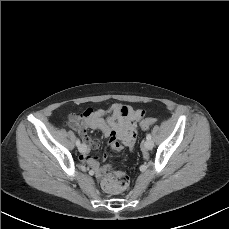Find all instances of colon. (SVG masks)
<instances>
[{
	"instance_id": "1",
	"label": "colon",
	"mask_w": 229,
	"mask_h": 229,
	"mask_svg": "<svg viewBox=\"0 0 229 229\" xmlns=\"http://www.w3.org/2000/svg\"><path fill=\"white\" fill-rule=\"evenodd\" d=\"M144 115L143 112H140V117ZM154 118H146L141 121L142 128H148L152 124H154ZM135 137V134H133ZM117 135L115 132L111 133L110 135V142L116 140ZM129 184L128 176L120 171H112L110 169H106L103 176H102V186L104 190L113 195H117L122 193Z\"/></svg>"
}]
</instances>
